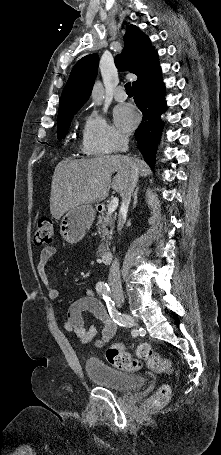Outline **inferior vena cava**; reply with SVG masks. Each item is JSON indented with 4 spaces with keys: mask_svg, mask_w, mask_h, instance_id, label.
<instances>
[{
    "mask_svg": "<svg viewBox=\"0 0 221 455\" xmlns=\"http://www.w3.org/2000/svg\"><path fill=\"white\" fill-rule=\"evenodd\" d=\"M128 143L129 139L127 136H119L118 137V145L120 148V151L126 152L128 150ZM138 169L136 166H133L128 174V179L127 183L124 189V192L122 193V202H121V207L118 215V232H121L124 224V220L126 218L127 212H128V207L131 201V197L133 195L134 189L136 187L137 181H138ZM108 281L109 285L111 287H118L121 288V278H120V270H119V262L118 259L115 258L113 261L110 270H109V276H108Z\"/></svg>",
    "mask_w": 221,
    "mask_h": 455,
    "instance_id": "inferior-vena-cava-1",
    "label": "inferior vena cava"
}]
</instances>
